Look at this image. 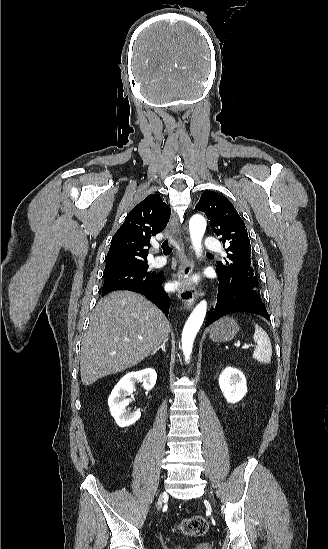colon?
Masks as SVG:
<instances>
[{
	"label": "colon",
	"instance_id": "obj_1",
	"mask_svg": "<svg viewBox=\"0 0 328 549\" xmlns=\"http://www.w3.org/2000/svg\"><path fill=\"white\" fill-rule=\"evenodd\" d=\"M178 530L186 536H202L208 530V522L201 515L190 516L179 523Z\"/></svg>",
	"mask_w": 328,
	"mask_h": 549
}]
</instances>
